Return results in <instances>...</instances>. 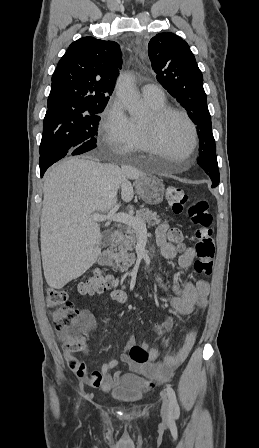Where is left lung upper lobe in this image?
I'll return each instance as SVG.
<instances>
[{"instance_id":"5c2ea615","label":"left lung upper lobe","mask_w":259,"mask_h":448,"mask_svg":"<svg viewBox=\"0 0 259 448\" xmlns=\"http://www.w3.org/2000/svg\"><path fill=\"white\" fill-rule=\"evenodd\" d=\"M148 54L159 83L197 126L199 152L216 148L203 76L187 42L173 33H159L150 40Z\"/></svg>"}]
</instances>
